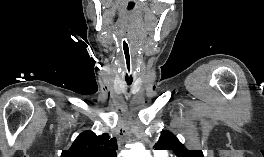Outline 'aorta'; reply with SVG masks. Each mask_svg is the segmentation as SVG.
Segmentation results:
<instances>
[{"label": "aorta", "mask_w": 264, "mask_h": 157, "mask_svg": "<svg viewBox=\"0 0 264 157\" xmlns=\"http://www.w3.org/2000/svg\"><path fill=\"white\" fill-rule=\"evenodd\" d=\"M125 155V157H150V153L140 143L132 145L131 149Z\"/></svg>", "instance_id": "aorta-1"}]
</instances>
